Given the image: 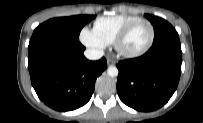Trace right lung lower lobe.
Here are the masks:
<instances>
[{
    "mask_svg": "<svg viewBox=\"0 0 203 123\" xmlns=\"http://www.w3.org/2000/svg\"><path fill=\"white\" fill-rule=\"evenodd\" d=\"M78 41L48 33L33 34L28 47L31 83L38 97L57 111H71L86 104L97 77L106 69L103 57L89 61Z\"/></svg>",
    "mask_w": 203,
    "mask_h": 123,
    "instance_id": "98d812e1",
    "label": "right lung lower lobe"
}]
</instances>
